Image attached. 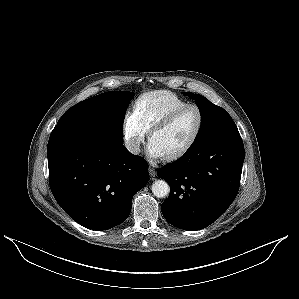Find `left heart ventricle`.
<instances>
[{
	"label": "left heart ventricle",
	"instance_id": "left-heart-ventricle-1",
	"mask_svg": "<svg viewBox=\"0 0 299 299\" xmlns=\"http://www.w3.org/2000/svg\"><path fill=\"white\" fill-rule=\"evenodd\" d=\"M198 121V112L195 109H188L168 127L154 133L151 140L166 156L186 145L193 136Z\"/></svg>",
	"mask_w": 299,
	"mask_h": 299
}]
</instances>
